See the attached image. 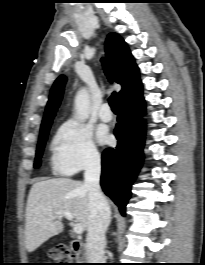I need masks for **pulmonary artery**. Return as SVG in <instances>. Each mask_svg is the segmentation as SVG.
<instances>
[{"instance_id": "obj_1", "label": "pulmonary artery", "mask_w": 205, "mask_h": 265, "mask_svg": "<svg viewBox=\"0 0 205 265\" xmlns=\"http://www.w3.org/2000/svg\"><path fill=\"white\" fill-rule=\"evenodd\" d=\"M99 117L104 122H109L112 120L113 115L108 103L102 104L99 111Z\"/></svg>"}]
</instances>
